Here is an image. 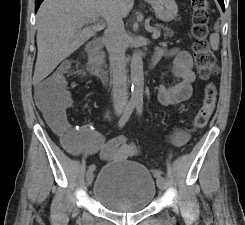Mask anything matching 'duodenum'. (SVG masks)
I'll return each instance as SVG.
<instances>
[{"label": "duodenum", "instance_id": "obj_1", "mask_svg": "<svg viewBox=\"0 0 245 225\" xmlns=\"http://www.w3.org/2000/svg\"><path fill=\"white\" fill-rule=\"evenodd\" d=\"M87 53L89 57V71L99 77H103L106 74V70L103 67L104 54L101 51V44L99 41L91 42L87 45ZM159 56L154 53L149 61V67H152Z\"/></svg>", "mask_w": 245, "mask_h": 225}]
</instances>
